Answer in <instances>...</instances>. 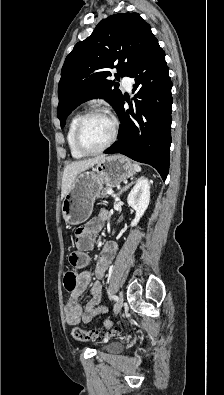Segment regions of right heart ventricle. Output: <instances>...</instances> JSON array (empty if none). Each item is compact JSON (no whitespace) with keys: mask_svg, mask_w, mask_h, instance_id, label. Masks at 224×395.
Returning a JSON list of instances; mask_svg holds the SVG:
<instances>
[{"mask_svg":"<svg viewBox=\"0 0 224 395\" xmlns=\"http://www.w3.org/2000/svg\"><path fill=\"white\" fill-rule=\"evenodd\" d=\"M80 116H81V114L77 113L70 119V121L68 123L67 137H66L67 145H68L69 151L71 153V156L75 159H80L85 156L76 148L75 140H74L75 128H76V124H77V121L79 120Z\"/></svg>","mask_w":224,"mask_h":395,"instance_id":"1","label":"right heart ventricle"}]
</instances>
